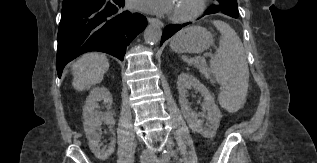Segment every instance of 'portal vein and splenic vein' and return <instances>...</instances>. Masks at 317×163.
Wrapping results in <instances>:
<instances>
[{"label":"portal vein and splenic vein","mask_w":317,"mask_h":163,"mask_svg":"<svg viewBox=\"0 0 317 163\" xmlns=\"http://www.w3.org/2000/svg\"><path fill=\"white\" fill-rule=\"evenodd\" d=\"M196 61H198V60H190L189 63H194ZM201 61H204V60H201Z\"/></svg>","instance_id":"18ae733b"}]
</instances>
